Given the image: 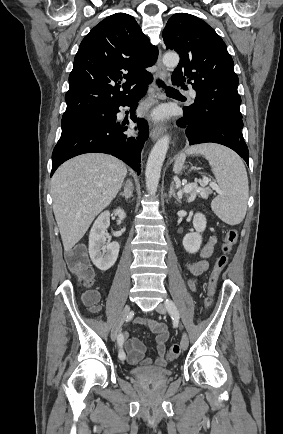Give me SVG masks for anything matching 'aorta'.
Listing matches in <instances>:
<instances>
[{
	"label": "aorta",
	"instance_id": "762f6f07",
	"mask_svg": "<svg viewBox=\"0 0 283 434\" xmlns=\"http://www.w3.org/2000/svg\"><path fill=\"white\" fill-rule=\"evenodd\" d=\"M179 55L167 53L163 56V63L166 67L175 68L179 63ZM170 138L162 136L152 148L145 171L146 188L150 195H155L161 175L162 165L169 148Z\"/></svg>",
	"mask_w": 283,
	"mask_h": 434
}]
</instances>
